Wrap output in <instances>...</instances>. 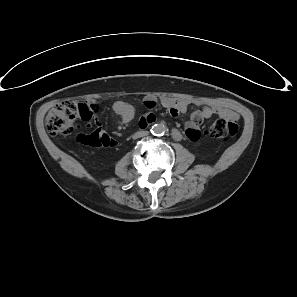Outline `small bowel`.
Returning <instances> with one entry per match:
<instances>
[{
  "instance_id": "obj_1",
  "label": "small bowel",
  "mask_w": 297,
  "mask_h": 297,
  "mask_svg": "<svg viewBox=\"0 0 297 297\" xmlns=\"http://www.w3.org/2000/svg\"><path fill=\"white\" fill-rule=\"evenodd\" d=\"M195 104L200 106L199 110L194 111L191 114L190 120L186 123V135L189 139L196 141L200 138V131L198 129L199 124L205 120L209 119L212 115L218 114L221 116H225L228 118H235V115L230 110L219 106H209L205 105L199 101H195ZM161 104L163 107L168 109L171 115L178 116L179 114L185 113L187 111L189 102L184 99H174V98H163L161 100ZM144 105L147 108H154L156 105V101L151 98H147L144 101ZM113 110L116 114L121 117L123 123L130 122L135 115V111L132 105L126 103L124 101H117L113 105ZM155 120L153 114L146 115L142 118L141 124L146 126L152 123Z\"/></svg>"
}]
</instances>
